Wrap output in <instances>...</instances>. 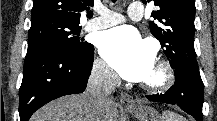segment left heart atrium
<instances>
[{"label":"left heart atrium","instance_id":"39dd6f15","mask_svg":"<svg viewBox=\"0 0 217 121\" xmlns=\"http://www.w3.org/2000/svg\"><path fill=\"white\" fill-rule=\"evenodd\" d=\"M99 49L105 61L126 80H146L154 68L153 49L129 27L106 31Z\"/></svg>","mask_w":217,"mask_h":121}]
</instances>
